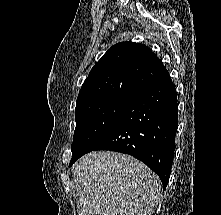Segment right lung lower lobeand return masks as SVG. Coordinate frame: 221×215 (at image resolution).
<instances>
[{
	"instance_id": "1",
	"label": "right lung lower lobe",
	"mask_w": 221,
	"mask_h": 215,
	"mask_svg": "<svg viewBox=\"0 0 221 215\" xmlns=\"http://www.w3.org/2000/svg\"><path fill=\"white\" fill-rule=\"evenodd\" d=\"M177 107L176 89L168 74L133 97L88 152L110 150L132 155L152 169L166 185L175 149ZM78 158L71 160L70 166Z\"/></svg>"
}]
</instances>
